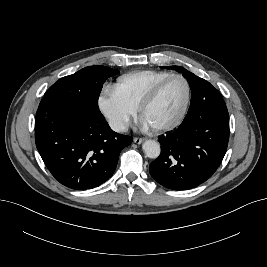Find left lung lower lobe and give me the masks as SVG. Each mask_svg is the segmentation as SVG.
Masks as SVG:
<instances>
[{"label":"left lung lower lobe","mask_w":267,"mask_h":267,"mask_svg":"<svg viewBox=\"0 0 267 267\" xmlns=\"http://www.w3.org/2000/svg\"><path fill=\"white\" fill-rule=\"evenodd\" d=\"M158 140L161 154L149 166L151 176L172 190L197 187L214 174L226 153L228 111L215 113L208 101H197L181 125Z\"/></svg>","instance_id":"obj_1"}]
</instances>
